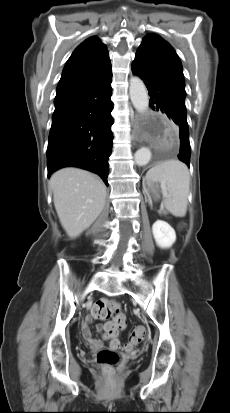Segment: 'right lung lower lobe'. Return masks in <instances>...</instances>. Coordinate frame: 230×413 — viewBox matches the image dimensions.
<instances>
[{"instance_id":"obj_1","label":"right lung lower lobe","mask_w":230,"mask_h":413,"mask_svg":"<svg viewBox=\"0 0 230 413\" xmlns=\"http://www.w3.org/2000/svg\"><path fill=\"white\" fill-rule=\"evenodd\" d=\"M111 81L112 72L57 92L47 148L48 177L62 167L75 166L98 174L108 186L113 139Z\"/></svg>"}]
</instances>
